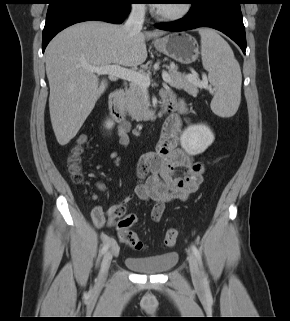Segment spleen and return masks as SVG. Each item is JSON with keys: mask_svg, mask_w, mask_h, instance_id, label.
<instances>
[{"mask_svg": "<svg viewBox=\"0 0 290 321\" xmlns=\"http://www.w3.org/2000/svg\"><path fill=\"white\" fill-rule=\"evenodd\" d=\"M201 56L208 79L215 87L212 111L221 117L233 116L241 101L242 74L229 44L214 30L200 29Z\"/></svg>", "mask_w": 290, "mask_h": 321, "instance_id": "spleen-1", "label": "spleen"}]
</instances>
